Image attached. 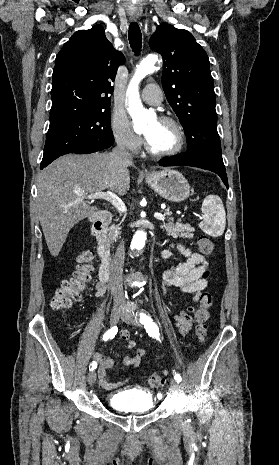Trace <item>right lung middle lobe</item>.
Here are the masks:
<instances>
[{
  "label": "right lung middle lobe",
  "instance_id": "obj_1",
  "mask_svg": "<svg viewBox=\"0 0 279 465\" xmlns=\"http://www.w3.org/2000/svg\"><path fill=\"white\" fill-rule=\"evenodd\" d=\"M109 107L50 124L41 164L87 145H113Z\"/></svg>",
  "mask_w": 279,
  "mask_h": 465
}]
</instances>
